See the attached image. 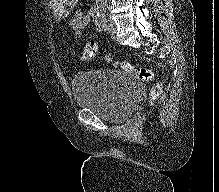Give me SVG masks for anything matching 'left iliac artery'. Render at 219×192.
I'll return each mask as SVG.
<instances>
[{
    "label": "left iliac artery",
    "mask_w": 219,
    "mask_h": 192,
    "mask_svg": "<svg viewBox=\"0 0 219 192\" xmlns=\"http://www.w3.org/2000/svg\"><path fill=\"white\" fill-rule=\"evenodd\" d=\"M98 12L97 16L99 18L100 24L103 27V29L106 31L107 29V21H106V16H105V5H99L98 6Z\"/></svg>",
    "instance_id": "obj_1"
}]
</instances>
